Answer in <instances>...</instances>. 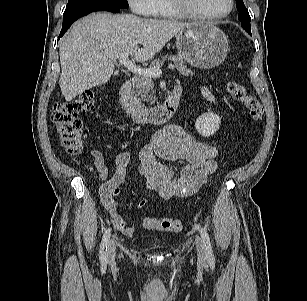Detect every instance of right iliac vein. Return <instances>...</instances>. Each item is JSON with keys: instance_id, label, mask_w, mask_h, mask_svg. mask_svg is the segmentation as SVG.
Instances as JSON below:
<instances>
[{"instance_id": "1", "label": "right iliac vein", "mask_w": 307, "mask_h": 301, "mask_svg": "<svg viewBox=\"0 0 307 301\" xmlns=\"http://www.w3.org/2000/svg\"><path fill=\"white\" fill-rule=\"evenodd\" d=\"M116 256V244L114 240H111L106 254V259L109 264H114Z\"/></svg>"}]
</instances>
